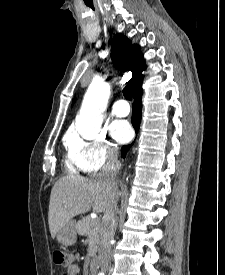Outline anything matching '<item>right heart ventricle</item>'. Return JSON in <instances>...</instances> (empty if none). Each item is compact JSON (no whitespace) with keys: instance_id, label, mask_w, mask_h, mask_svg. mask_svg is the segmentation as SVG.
Wrapping results in <instances>:
<instances>
[{"instance_id":"e07e8e85","label":"right heart ventricle","mask_w":225,"mask_h":275,"mask_svg":"<svg viewBox=\"0 0 225 275\" xmlns=\"http://www.w3.org/2000/svg\"><path fill=\"white\" fill-rule=\"evenodd\" d=\"M67 167L71 172L81 170L72 157L67 161Z\"/></svg>"}]
</instances>
